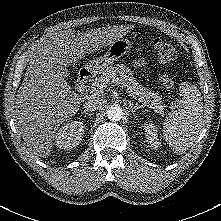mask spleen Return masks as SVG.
Masks as SVG:
<instances>
[{"label":"spleen","instance_id":"obj_1","mask_svg":"<svg viewBox=\"0 0 221 221\" xmlns=\"http://www.w3.org/2000/svg\"><path fill=\"white\" fill-rule=\"evenodd\" d=\"M179 93L182 99L178 109L166 117L163 137L175 153L183 154L193 144L201 129L203 102L200 91L192 83L183 82Z\"/></svg>","mask_w":221,"mask_h":221}]
</instances>
